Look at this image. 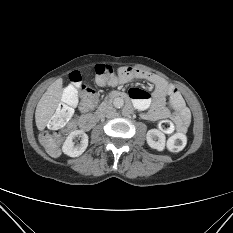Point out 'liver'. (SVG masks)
<instances>
[{"label":"liver","instance_id":"6515ba94","mask_svg":"<svg viewBox=\"0 0 233 233\" xmlns=\"http://www.w3.org/2000/svg\"><path fill=\"white\" fill-rule=\"evenodd\" d=\"M62 84V78L57 79L48 87L37 104L35 121L36 126L40 131L45 129L61 100Z\"/></svg>","mask_w":233,"mask_h":233}]
</instances>
